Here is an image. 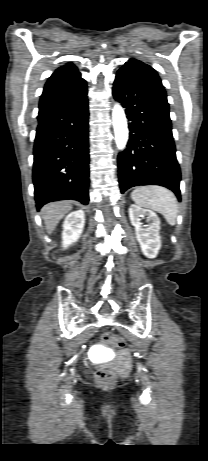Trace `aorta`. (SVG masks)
<instances>
[{
	"instance_id": "aorta-1",
	"label": "aorta",
	"mask_w": 208,
	"mask_h": 461,
	"mask_svg": "<svg viewBox=\"0 0 208 461\" xmlns=\"http://www.w3.org/2000/svg\"><path fill=\"white\" fill-rule=\"evenodd\" d=\"M112 120L117 148L123 150L128 142L129 131L125 112L119 103H116L112 109Z\"/></svg>"
}]
</instances>
